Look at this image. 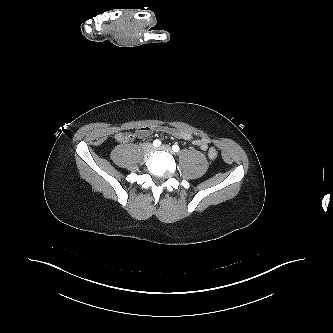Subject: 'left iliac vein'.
I'll use <instances>...</instances> for the list:
<instances>
[{
  "label": "left iliac vein",
  "mask_w": 333,
  "mask_h": 333,
  "mask_svg": "<svg viewBox=\"0 0 333 333\" xmlns=\"http://www.w3.org/2000/svg\"><path fill=\"white\" fill-rule=\"evenodd\" d=\"M157 149L158 150H162V151H166V152H168L170 154H173L172 148L170 146H168V145H162V146L158 147Z\"/></svg>",
  "instance_id": "4c4485c4"
}]
</instances>
